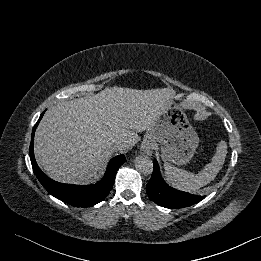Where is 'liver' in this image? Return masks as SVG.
<instances>
[{"label": "liver", "instance_id": "liver-1", "mask_svg": "<svg viewBox=\"0 0 261 261\" xmlns=\"http://www.w3.org/2000/svg\"><path fill=\"white\" fill-rule=\"evenodd\" d=\"M171 88H106L98 94L59 102L49 109L34 138L37 162L52 179L89 183L100 178L122 141L126 150L148 130L173 95Z\"/></svg>", "mask_w": 261, "mask_h": 261}]
</instances>
